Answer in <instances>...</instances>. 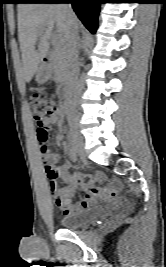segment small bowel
Masks as SVG:
<instances>
[{
	"instance_id": "small-bowel-1",
	"label": "small bowel",
	"mask_w": 166,
	"mask_h": 267,
	"mask_svg": "<svg viewBox=\"0 0 166 267\" xmlns=\"http://www.w3.org/2000/svg\"><path fill=\"white\" fill-rule=\"evenodd\" d=\"M54 124H57L60 128L63 127L64 110L62 107H58L56 112L45 120L47 129ZM61 140V136L58 135L56 138V143L59 144ZM46 159L51 163H55L58 160V155L49 154ZM69 168L70 162L68 161L57 168V177H59L67 186L64 192L72 193L77 189V187H81L84 190H89V193L80 202L72 203L68 198L65 197L64 192L59 189L56 178L50 179V192L55 199L56 205L63 211L65 215L73 214L90 207L98 197L108 199L116 195V188L113 185L104 188L102 191L101 186H94V190L91 188L94 183L102 181V177L100 175H94L92 178L87 179L80 174H70L68 171ZM96 191H101V193L98 194Z\"/></svg>"
}]
</instances>
